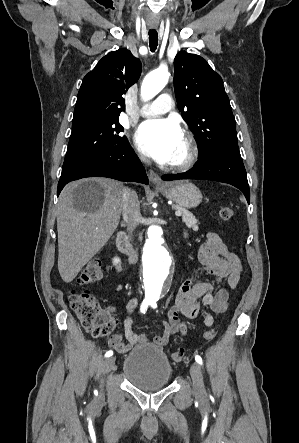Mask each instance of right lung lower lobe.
Returning a JSON list of instances; mask_svg holds the SVG:
<instances>
[{
    "instance_id": "obj_1",
    "label": "right lung lower lobe",
    "mask_w": 299,
    "mask_h": 443,
    "mask_svg": "<svg viewBox=\"0 0 299 443\" xmlns=\"http://www.w3.org/2000/svg\"><path fill=\"white\" fill-rule=\"evenodd\" d=\"M85 177H108L148 184L144 167L130 145L119 153L100 156L61 175L57 196L68 182Z\"/></svg>"
}]
</instances>
